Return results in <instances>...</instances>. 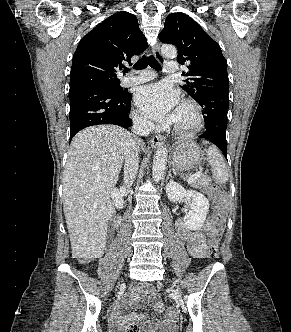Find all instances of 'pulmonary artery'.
Returning a JSON list of instances; mask_svg holds the SVG:
<instances>
[{
    "label": "pulmonary artery",
    "instance_id": "pulmonary-artery-1",
    "mask_svg": "<svg viewBox=\"0 0 291 332\" xmlns=\"http://www.w3.org/2000/svg\"><path fill=\"white\" fill-rule=\"evenodd\" d=\"M179 70V65L175 61H169L165 64L164 71L168 74L176 73ZM155 77V74L151 71H143L138 75L129 76L123 79L122 84L124 86H132L139 83H144L152 80Z\"/></svg>",
    "mask_w": 291,
    "mask_h": 332
}]
</instances>
